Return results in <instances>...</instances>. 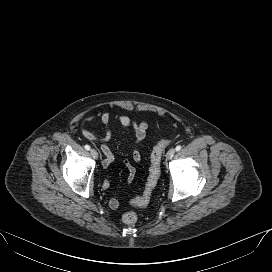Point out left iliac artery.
<instances>
[{
  "mask_svg": "<svg viewBox=\"0 0 272 272\" xmlns=\"http://www.w3.org/2000/svg\"><path fill=\"white\" fill-rule=\"evenodd\" d=\"M181 148H182V146H181V145L176 146V151H180V150H181Z\"/></svg>",
  "mask_w": 272,
  "mask_h": 272,
  "instance_id": "left-iliac-artery-1",
  "label": "left iliac artery"
}]
</instances>
